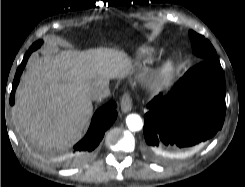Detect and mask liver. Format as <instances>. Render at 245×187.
I'll return each instance as SVG.
<instances>
[{"label":"liver","instance_id":"1","mask_svg":"<svg viewBox=\"0 0 245 187\" xmlns=\"http://www.w3.org/2000/svg\"><path fill=\"white\" fill-rule=\"evenodd\" d=\"M130 67L127 54L113 48L61 50L31 60L16 92L17 128L48 147L74 141L92 115V88Z\"/></svg>","mask_w":245,"mask_h":187}]
</instances>
